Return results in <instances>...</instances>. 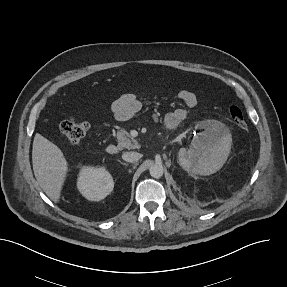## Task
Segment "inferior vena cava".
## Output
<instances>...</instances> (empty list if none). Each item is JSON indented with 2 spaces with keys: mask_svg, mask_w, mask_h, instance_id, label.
<instances>
[{
  "mask_svg": "<svg viewBox=\"0 0 287 287\" xmlns=\"http://www.w3.org/2000/svg\"><path fill=\"white\" fill-rule=\"evenodd\" d=\"M141 155L137 152H125L122 155V159L126 162H137Z\"/></svg>",
  "mask_w": 287,
  "mask_h": 287,
  "instance_id": "1",
  "label": "inferior vena cava"
}]
</instances>
